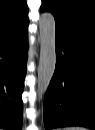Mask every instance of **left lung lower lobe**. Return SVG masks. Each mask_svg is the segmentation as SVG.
I'll return each instance as SVG.
<instances>
[{
  "label": "left lung lower lobe",
  "mask_w": 95,
  "mask_h": 130,
  "mask_svg": "<svg viewBox=\"0 0 95 130\" xmlns=\"http://www.w3.org/2000/svg\"><path fill=\"white\" fill-rule=\"evenodd\" d=\"M56 68L44 99L45 129H95V39L56 29Z\"/></svg>",
  "instance_id": "left-lung-lower-lobe-1"
}]
</instances>
